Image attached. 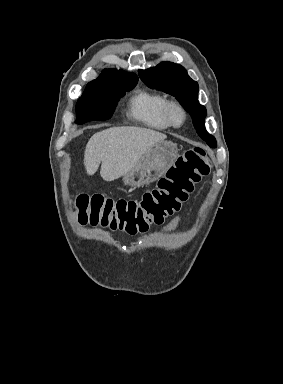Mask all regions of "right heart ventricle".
<instances>
[{"mask_svg": "<svg viewBox=\"0 0 283 384\" xmlns=\"http://www.w3.org/2000/svg\"><path fill=\"white\" fill-rule=\"evenodd\" d=\"M168 101L162 93L147 88L135 89L127 101L128 115L146 128L165 131L170 128L163 111Z\"/></svg>", "mask_w": 283, "mask_h": 384, "instance_id": "1", "label": "right heart ventricle"}]
</instances>
